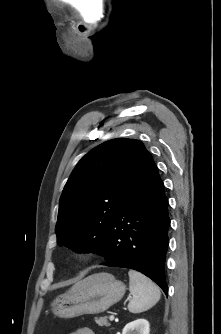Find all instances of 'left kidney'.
I'll list each match as a JSON object with an SVG mask.
<instances>
[{
  "instance_id": "left-kidney-1",
  "label": "left kidney",
  "mask_w": 221,
  "mask_h": 334,
  "mask_svg": "<svg viewBox=\"0 0 221 334\" xmlns=\"http://www.w3.org/2000/svg\"><path fill=\"white\" fill-rule=\"evenodd\" d=\"M149 332V322L146 319H137L128 323L124 327L122 334H149Z\"/></svg>"
}]
</instances>
